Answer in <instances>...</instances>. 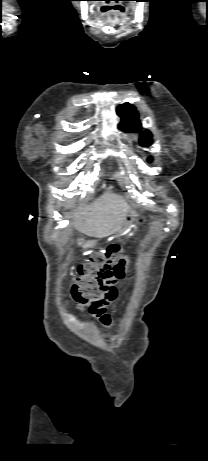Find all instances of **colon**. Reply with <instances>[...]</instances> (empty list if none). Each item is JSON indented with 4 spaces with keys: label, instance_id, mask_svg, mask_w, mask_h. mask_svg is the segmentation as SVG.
Listing matches in <instances>:
<instances>
[{
    "label": "colon",
    "instance_id": "1",
    "mask_svg": "<svg viewBox=\"0 0 208 461\" xmlns=\"http://www.w3.org/2000/svg\"><path fill=\"white\" fill-rule=\"evenodd\" d=\"M129 258L117 244H112L102 255L94 256L80 265L72 292L81 306L90 307L103 294L105 286L124 276Z\"/></svg>",
    "mask_w": 208,
    "mask_h": 461
}]
</instances>
